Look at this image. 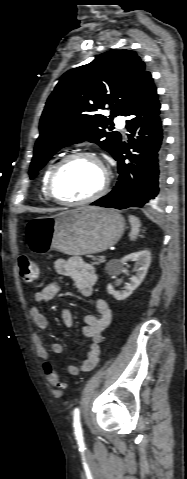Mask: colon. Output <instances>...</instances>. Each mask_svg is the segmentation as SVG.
I'll list each match as a JSON object with an SVG mask.
<instances>
[{"mask_svg": "<svg viewBox=\"0 0 187 479\" xmlns=\"http://www.w3.org/2000/svg\"><path fill=\"white\" fill-rule=\"evenodd\" d=\"M18 267L20 276L25 283H32L36 281L39 276L38 265L26 256H21L18 260ZM44 374L47 377L49 383L55 389L63 390L66 388V382L55 371L54 367L50 364L44 366Z\"/></svg>", "mask_w": 187, "mask_h": 479, "instance_id": "colon-1", "label": "colon"}]
</instances>
